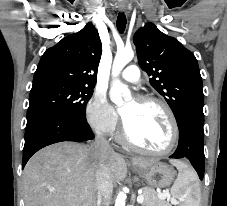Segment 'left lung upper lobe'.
Wrapping results in <instances>:
<instances>
[{
	"label": "left lung upper lobe",
	"mask_w": 227,
	"mask_h": 206,
	"mask_svg": "<svg viewBox=\"0 0 227 206\" xmlns=\"http://www.w3.org/2000/svg\"><path fill=\"white\" fill-rule=\"evenodd\" d=\"M138 62L151 86L166 100L180 126L192 115L204 119L202 78L194 54L153 23L134 35Z\"/></svg>",
	"instance_id": "5c2ea615"
}]
</instances>
